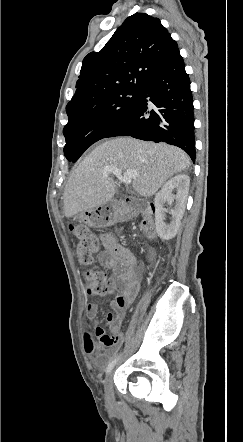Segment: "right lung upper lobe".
Segmentation results:
<instances>
[{"label": "right lung upper lobe", "instance_id": "1", "mask_svg": "<svg viewBox=\"0 0 243 442\" xmlns=\"http://www.w3.org/2000/svg\"><path fill=\"white\" fill-rule=\"evenodd\" d=\"M178 52L176 41L158 18L133 14L101 51L84 58L76 93L66 106L68 117L110 96L140 91L147 79Z\"/></svg>", "mask_w": 243, "mask_h": 442}]
</instances>
